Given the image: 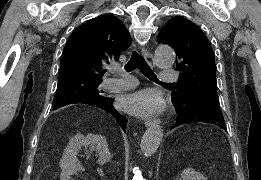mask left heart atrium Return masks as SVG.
Instances as JSON below:
<instances>
[{
    "label": "left heart atrium",
    "instance_id": "obj_1",
    "mask_svg": "<svg viewBox=\"0 0 261 180\" xmlns=\"http://www.w3.org/2000/svg\"><path fill=\"white\" fill-rule=\"evenodd\" d=\"M121 105L127 112L143 117L160 113L164 108V100L157 91L146 89L124 95Z\"/></svg>",
    "mask_w": 261,
    "mask_h": 180
}]
</instances>
